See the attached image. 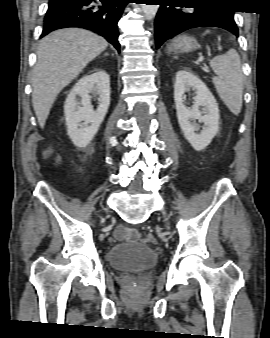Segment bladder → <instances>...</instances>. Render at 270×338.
<instances>
[{
	"label": "bladder",
	"mask_w": 270,
	"mask_h": 338,
	"mask_svg": "<svg viewBox=\"0 0 270 338\" xmlns=\"http://www.w3.org/2000/svg\"><path fill=\"white\" fill-rule=\"evenodd\" d=\"M158 255L155 249L141 242L115 243L108 253L109 265L118 271H141L154 267Z\"/></svg>",
	"instance_id": "obj_1"
}]
</instances>
